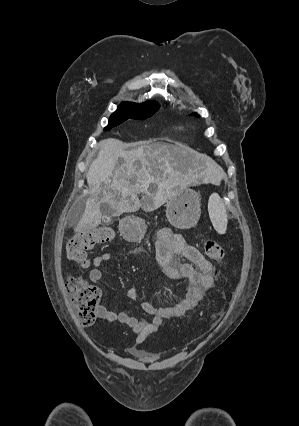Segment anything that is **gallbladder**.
Here are the masks:
<instances>
[{"mask_svg":"<svg viewBox=\"0 0 299 426\" xmlns=\"http://www.w3.org/2000/svg\"><path fill=\"white\" fill-rule=\"evenodd\" d=\"M100 210L103 216V223L110 224L112 215L114 214L113 208L109 204L104 203L100 206Z\"/></svg>","mask_w":299,"mask_h":426,"instance_id":"bac80fb5","label":"gallbladder"}]
</instances>
